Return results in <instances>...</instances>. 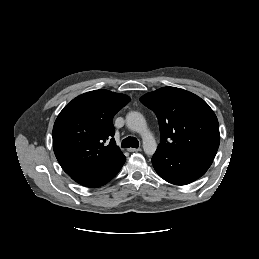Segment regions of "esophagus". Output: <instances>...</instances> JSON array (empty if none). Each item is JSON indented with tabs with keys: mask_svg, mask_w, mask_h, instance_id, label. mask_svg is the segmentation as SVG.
Returning a JSON list of instances; mask_svg holds the SVG:
<instances>
[{
	"mask_svg": "<svg viewBox=\"0 0 259 259\" xmlns=\"http://www.w3.org/2000/svg\"><path fill=\"white\" fill-rule=\"evenodd\" d=\"M128 151L129 152H139V151H141V148H132L131 147V148L128 149Z\"/></svg>",
	"mask_w": 259,
	"mask_h": 259,
	"instance_id": "obj_1",
	"label": "esophagus"
}]
</instances>
